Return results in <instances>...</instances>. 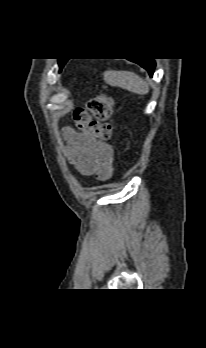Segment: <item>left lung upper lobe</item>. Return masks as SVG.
Masks as SVG:
<instances>
[{
	"mask_svg": "<svg viewBox=\"0 0 206 348\" xmlns=\"http://www.w3.org/2000/svg\"><path fill=\"white\" fill-rule=\"evenodd\" d=\"M66 61H67V60H63V59H60V60H59L58 63H59L60 69L64 66V64L66 63Z\"/></svg>",
	"mask_w": 206,
	"mask_h": 348,
	"instance_id": "1",
	"label": "left lung upper lobe"
}]
</instances>
